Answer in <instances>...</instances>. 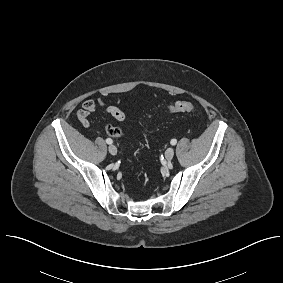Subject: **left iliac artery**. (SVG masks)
Returning <instances> with one entry per match:
<instances>
[{
    "mask_svg": "<svg viewBox=\"0 0 283 283\" xmlns=\"http://www.w3.org/2000/svg\"><path fill=\"white\" fill-rule=\"evenodd\" d=\"M170 143H171V145H176L177 140L176 139H172Z\"/></svg>",
    "mask_w": 283,
    "mask_h": 283,
    "instance_id": "1",
    "label": "left iliac artery"
}]
</instances>
